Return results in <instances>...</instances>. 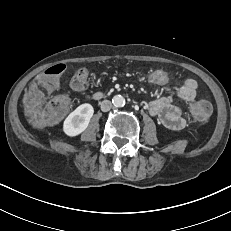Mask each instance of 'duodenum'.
<instances>
[{
  "instance_id": "410a0bca",
  "label": "duodenum",
  "mask_w": 231,
  "mask_h": 231,
  "mask_svg": "<svg viewBox=\"0 0 231 231\" xmlns=\"http://www.w3.org/2000/svg\"><path fill=\"white\" fill-rule=\"evenodd\" d=\"M102 97V94L101 93H96L95 95H94V98L95 99H100Z\"/></svg>"
}]
</instances>
